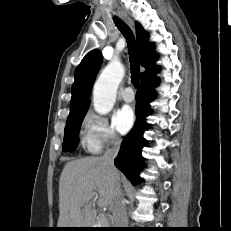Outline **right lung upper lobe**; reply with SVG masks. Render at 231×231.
<instances>
[{
  "label": "right lung upper lobe",
  "mask_w": 231,
  "mask_h": 231,
  "mask_svg": "<svg viewBox=\"0 0 231 231\" xmlns=\"http://www.w3.org/2000/svg\"><path fill=\"white\" fill-rule=\"evenodd\" d=\"M148 34L136 23V38L140 64L146 69L141 74V81L155 76L160 67L155 64L157 59L154 45L148 41ZM102 56L99 50L89 52L75 70V82L72 85L70 114L77 115L86 112L89 106V95L92 83L101 64Z\"/></svg>",
  "instance_id": "cb5924a9"
}]
</instances>
